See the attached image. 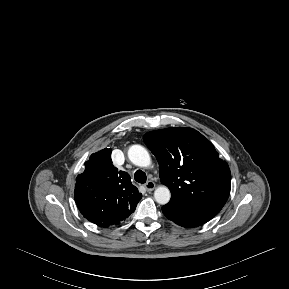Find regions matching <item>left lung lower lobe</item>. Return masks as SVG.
<instances>
[{
  "label": "left lung lower lobe",
  "mask_w": 289,
  "mask_h": 289,
  "mask_svg": "<svg viewBox=\"0 0 289 289\" xmlns=\"http://www.w3.org/2000/svg\"><path fill=\"white\" fill-rule=\"evenodd\" d=\"M162 211L168 219L187 228L200 226L217 215L192 203L172 200L162 207Z\"/></svg>",
  "instance_id": "0a47b994"
}]
</instances>
